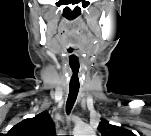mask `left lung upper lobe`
<instances>
[{
    "mask_svg": "<svg viewBox=\"0 0 151 136\" xmlns=\"http://www.w3.org/2000/svg\"><path fill=\"white\" fill-rule=\"evenodd\" d=\"M98 130L102 134V136H126L128 135L127 130L118 126L111 125L106 120H102L99 123Z\"/></svg>",
    "mask_w": 151,
    "mask_h": 136,
    "instance_id": "5c2ea615",
    "label": "left lung upper lobe"
}]
</instances>
